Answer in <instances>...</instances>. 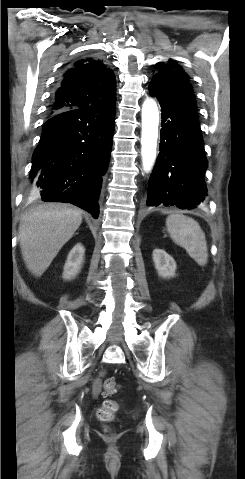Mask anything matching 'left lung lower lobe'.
<instances>
[{
    "mask_svg": "<svg viewBox=\"0 0 245 479\" xmlns=\"http://www.w3.org/2000/svg\"><path fill=\"white\" fill-rule=\"evenodd\" d=\"M150 95L160 101V153L149 180L148 206L194 209L206 196L207 159L189 79H152Z\"/></svg>",
    "mask_w": 245,
    "mask_h": 479,
    "instance_id": "obj_1",
    "label": "left lung lower lobe"
}]
</instances>
